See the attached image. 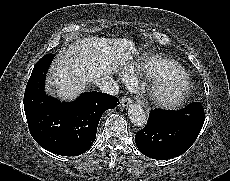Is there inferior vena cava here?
Masks as SVG:
<instances>
[{
	"instance_id": "inferior-vena-cava-1",
	"label": "inferior vena cava",
	"mask_w": 230,
	"mask_h": 181,
	"mask_svg": "<svg viewBox=\"0 0 230 181\" xmlns=\"http://www.w3.org/2000/svg\"><path fill=\"white\" fill-rule=\"evenodd\" d=\"M94 85L102 92L117 95L119 93V85L117 81H115L110 76H102L94 80Z\"/></svg>"
}]
</instances>
